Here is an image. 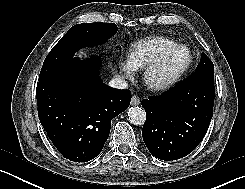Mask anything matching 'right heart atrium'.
Wrapping results in <instances>:
<instances>
[{"mask_svg":"<svg viewBox=\"0 0 245 189\" xmlns=\"http://www.w3.org/2000/svg\"><path fill=\"white\" fill-rule=\"evenodd\" d=\"M119 74L124 78H132L135 72L134 67L130 64L128 59H118L116 61Z\"/></svg>","mask_w":245,"mask_h":189,"instance_id":"d8ad5b80","label":"right heart atrium"}]
</instances>
